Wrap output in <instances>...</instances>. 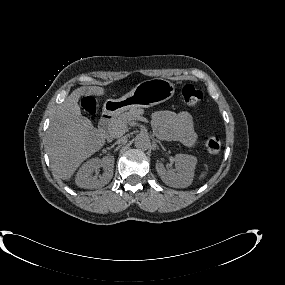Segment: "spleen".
Returning <instances> with one entry per match:
<instances>
[{"label":"spleen","mask_w":285,"mask_h":285,"mask_svg":"<svg viewBox=\"0 0 285 285\" xmlns=\"http://www.w3.org/2000/svg\"><path fill=\"white\" fill-rule=\"evenodd\" d=\"M207 176V170H204L201 174H200V179H204Z\"/></svg>","instance_id":"spleen-1"}]
</instances>
